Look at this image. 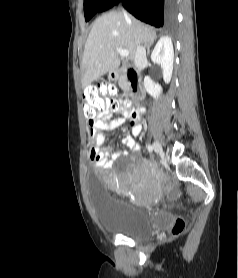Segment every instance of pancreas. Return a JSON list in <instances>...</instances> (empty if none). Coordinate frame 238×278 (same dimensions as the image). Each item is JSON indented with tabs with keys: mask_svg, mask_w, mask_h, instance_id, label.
<instances>
[{
	"mask_svg": "<svg viewBox=\"0 0 238 278\" xmlns=\"http://www.w3.org/2000/svg\"><path fill=\"white\" fill-rule=\"evenodd\" d=\"M119 86L123 89L127 88L129 86V83L127 81V79L124 77L122 79H120L119 81Z\"/></svg>",
	"mask_w": 238,
	"mask_h": 278,
	"instance_id": "obj_1",
	"label": "pancreas"
}]
</instances>
